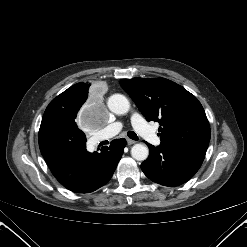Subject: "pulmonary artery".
Returning <instances> with one entry per match:
<instances>
[{"instance_id":"obj_1","label":"pulmonary artery","mask_w":247,"mask_h":247,"mask_svg":"<svg viewBox=\"0 0 247 247\" xmlns=\"http://www.w3.org/2000/svg\"><path fill=\"white\" fill-rule=\"evenodd\" d=\"M131 122L135 130L148 142L158 145L160 144V139L157 136L156 132L144 121V119L138 114L133 113L131 116ZM123 128L122 122H114L105 127L100 132L101 139H108L116 134H118Z\"/></svg>"}]
</instances>
